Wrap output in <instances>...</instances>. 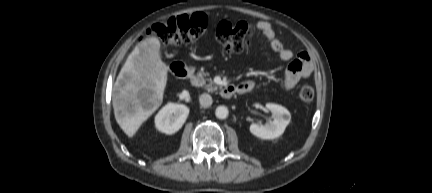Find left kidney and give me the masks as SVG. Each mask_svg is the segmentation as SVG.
Returning a JSON list of instances; mask_svg holds the SVG:
<instances>
[{"instance_id": "1", "label": "left kidney", "mask_w": 432, "mask_h": 193, "mask_svg": "<svg viewBox=\"0 0 432 193\" xmlns=\"http://www.w3.org/2000/svg\"><path fill=\"white\" fill-rule=\"evenodd\" d=\"M266 108L272 112L273 121L265 125L252 123L250 132L261 139H275L284 133L290 123L291 114L285 107L278 104L267 103Z\"/></svg>"}]
</instances>
